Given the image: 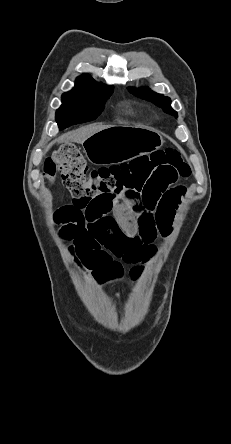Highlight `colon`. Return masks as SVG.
Here are the masks:
<instances>
[{
  "instance_id": "1",
  "label": "colon",
  "mask_w": 231,
  "mask_h": 444,
  "mask_svg": "<svg viewBox=\"0 0 231 444\" xmlns=\"http://www.w3.org/2000/svg\"><path fill=\"white\" fill-rule=\"evenodd\" d=\"M43 170L51 181L60 173L74 200L121 195L141 200L152 185L167 187L190 175L189 165L173 148L156 151L129 163L89 171L82 154L71 144L55 151L45 161ZM62 220L58 210L57 221L60 223Z\"/></svg>"
}]
</instances>
